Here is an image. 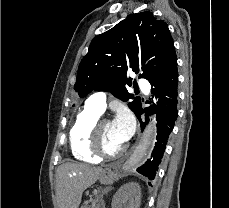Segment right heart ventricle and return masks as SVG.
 Listing matches in <instances>:
<instances>
[{"label": "right heart ventricle", "instance_id": "obj_1", "mask_svg": "<svg viewBox=\"0 0 229 208\" xmlns=\"http://www.w3.org/2000/svg\"><path fill=\"white\" fill-rule=\"evenodd\" d=\"M100 114L85 107L78 113L76 121L69 132V146L74 160L80 163H94L99 160L95 153H90V144L93 143L90 129Z\"/></svg>", "mask_w": 229, "mask_h": 208}]
</instances>
